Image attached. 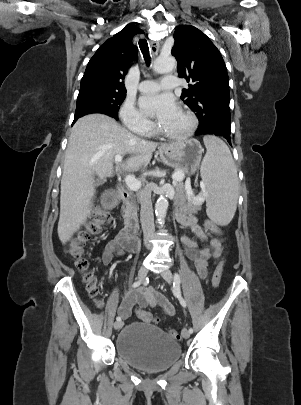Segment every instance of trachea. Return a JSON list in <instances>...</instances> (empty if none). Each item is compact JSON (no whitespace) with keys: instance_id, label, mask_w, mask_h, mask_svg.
<instances>
[{"instance_id":"3493384b","label":"trachea","mask_w":301,"mask_h":405,"mask_svg":"<svg viewBox=\"0 0 301 405\" xmlns=\"http://www.w3.org/2000/svg\"><path fill=\"white\" fill-rule=\"evenodd\" d=\"M139 47L140 50L144 56V59L146 61L147 64H149V60H150V55H149V46H148V42L146 39H140L139 40Z\"/></svg>"}]
</instances>
